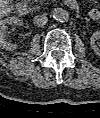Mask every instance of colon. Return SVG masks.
Wrapping results in <instances>:
<instances>
[{
	"label": "colon",
	"mask_w": 100,
	"mask_h": 118,
	"mask_svg": "<svg viewBox=\"0 0 100 118\" xmlns=\"http://www.w3.org/2000/svg\"><path fill=\"white\" fill-rule=\"evenodd\" d=\"M93 15H94L95 17H98V14H97L96 12H94Z\"/></svg>",
	"instance_id": "colon-1"
}]
</instances>
